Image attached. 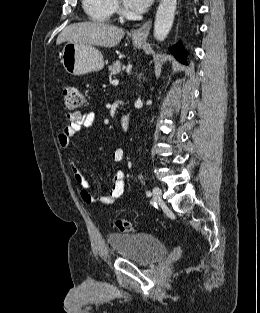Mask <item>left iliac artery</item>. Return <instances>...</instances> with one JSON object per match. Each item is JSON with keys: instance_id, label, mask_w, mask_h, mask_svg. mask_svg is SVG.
<instances>
[{"instance_id": "44dca946", "label": "left iliac artery", "mask_w": 260, "mask_h": 313, "mask_svg": "<svg viewBox=\"0 0 260 313\" xmlns=\"http://www.w3.org/2000/svg\"><path fill=\"white\" fill-rule=\"evenodd\" d=\"M139 178H140V179H143L142 175H139ZM141 181H142V183H144L143 180H141ZM146 195H147V196H151V192L147 190V191H146Z\"/></svg>"}]
</instances>
